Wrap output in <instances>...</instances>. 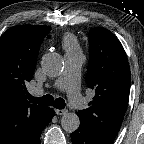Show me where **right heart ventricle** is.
<instances>
[{"label": "right heart ventricle", "mask_w": 144, "mask_h": 144, "mask_svg": "<svg viewBox=\"0 0 144 144\" xmlns=\"http://www.w3.org/2000/svg\"><path fill=\"white\" fill-rule=\"evenodd\" d=\"M62 46L67 53H74L79 51L78 41L72 34H67L63 37Z\"/></svg>", "instance_id": "right-heart-ventricle-1"}]
</instances>
